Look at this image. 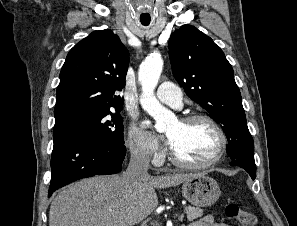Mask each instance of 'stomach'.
Instances as JSON below:
<instances>
[{
	"label": "stomach",
	"mask_w": 297,
	"mask_h": 226,
	"mask_svg": "<svg viewBox=\"0 0 297 226\" xmlns=\"http://www.w3.org/2000/svg\"><path fill=\"white\" fill-rule=\"evenodd\" d=\"M181 189L183 197L199 207L214 204L221 194L218 183L205 173L195 174L185 180Z\"/></svg>",
	"instance_id": "stomach-1"
}]
</instances>
